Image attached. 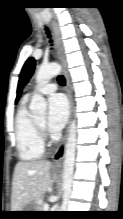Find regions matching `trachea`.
Wrapping results in <instances>:
<instances>
[{
    "mask_svg": "<svg viewBox=\"0 0 123 219\" xmlns=\"http://www.w3.org/2000/svg\"><path fill=\"white\" fill-rule=\"evenodd\" d=\"M46 33H47L48 37L50 38V32H49V30H48L47 28H46ZM50 42H51V40H50ZM57 80H58V83H59L61 86H64V85H65V78H64L62 75H59L58 78H57Z\"/></svg>",
    "mask_w": 123,
    "mask_h": 219,
    "instance_id": "3493384b",
    "label": "trachea"
}]
</instances>
